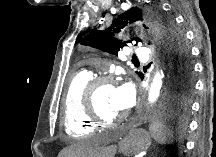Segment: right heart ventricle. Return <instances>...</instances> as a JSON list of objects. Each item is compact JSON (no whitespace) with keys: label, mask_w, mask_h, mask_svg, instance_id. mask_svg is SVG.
I'll list each match as a JSON object with an SVG mask.
<instances>
[{"label":"right heart ventricle","mask_w":216,"mask_h":157,"mask_svg":"<svg viewBox=\"0 0 216 157\" xmlns=\"http://www.w3.org/2000/svg\"><path fill=\"white\" fill-rule=\"evenodd\" d=\"M90 76L75 72L70 75L62 97L63 127L67 135L82 137L90 135L96 129L86 115L83 103V91Z\"/></svg>","instance_id":"e07e8e85"}]
</instances>
